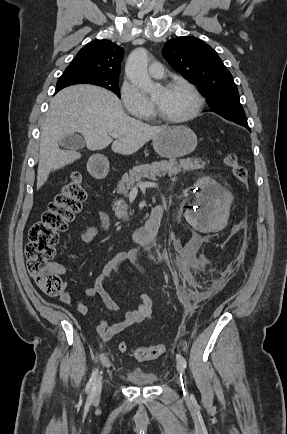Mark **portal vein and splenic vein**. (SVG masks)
Here are the masks:
<instances>
[{"instance_id": "18ae733b", "label": "portal vein and splenic vein", "mask_w": 287, "mask_h": 434, "mask_svg": "<svg viewBox=\"0 0 287 434\" xmlns=\"http://www.w3.org/2000/svg\"><path fill=\"white\" fill-rule=\"evenodd\" d=\"M110 136L111 137H113V138H118L119 137V135L117 134V133H110ZM158 185V183H156V182H138L137 184H136V187H139V188H148V187H156Z\"/></svg>"}]
</instances>
